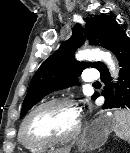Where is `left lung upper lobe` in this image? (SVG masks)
<instances>
[{
    "label": "left lung upper lobe",
    "mask_w": 130,
    "mask_h": 153,
    "mask_svg": "<svg viewBox=\"0 0 130 153\" xmlns=\"http://www.w3.org/2000/svg\"><path fill=\"white\" fill-rule=\"evenodd\" d=\"M84 20L86 21L85 30L79 24L74 26L70 39L64 41L34 74L23 101L21 118L49 93L75 84L83 69L93 67L99 70L101 68L103 65L101 62H78L74 59V52L85 42L87 35L91 45L107 49L110 40L118 32L123 31L113 17L105 14L87 17ZM97 96L98 93H94L92 98L95 99Z\"/></svg>",
    "instance_id": "5c2ea615"
}]
</instances>
